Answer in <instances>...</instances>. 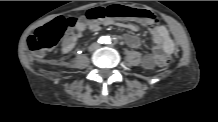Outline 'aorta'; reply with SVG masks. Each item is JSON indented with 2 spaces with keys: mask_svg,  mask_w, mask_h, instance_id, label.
Wrapping results in <instances>:
<instances>
[{
  "mask_svg": "<svg viewBox=\"0 0 218 122\" xmlns=\"http://www.w3.org/2000/svg\"><path fill=\"white\" fill-rule=\"evenodd\" d=\"M103 43L109 44L110 43V37L109 36H104L103 37Z\"/></svg>",
  "mask_w": 218,
  "mask_h": 122,
  "instance_id": "aorta-1",
  "label": "aorta"
}]
</instances>
